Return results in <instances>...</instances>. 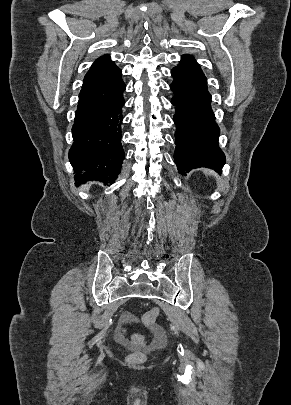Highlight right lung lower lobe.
Here are the masks:
<instances>
[{
    "mask_svg": "<svg viewBox=\"0 0 291 405\" xmlns=\"http://www.w3.org/2000/svg\"><path fill=\"white\" fill-rule=\"evenodd\" d=\"M125 88L121 70L82 86L72 128L74 142L69 150V161L78 183L95 180L112 184L121 171Z\"/></svg>",
    "mask_w": 291,
    "mask_h": 405,
    "instance_id": "98d812e1",
    "label": "right lung lower lobe"
}]
</instances>
